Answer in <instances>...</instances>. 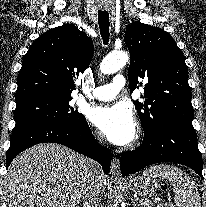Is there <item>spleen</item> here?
<instances>
[{
	"label": "spleen",
	"instance_id": "spleen-1",
	"mask_svg": "<svg viewBox=\"0 0 206 207\" xmlns=\"http://www.w3.org/2000/svg\"><path fill=\"white\" fill-rule=\"evenodd\" d=\"M143 175L169 180L173 187L176 207H201L200 194L195 182L181 169L160 164L146 169Z\"/></svg>",
	"mask_w": 206,
	"mask_h": 207
}]
</instances>
